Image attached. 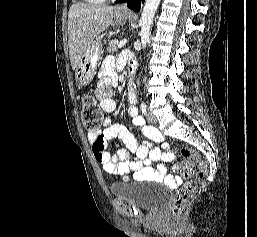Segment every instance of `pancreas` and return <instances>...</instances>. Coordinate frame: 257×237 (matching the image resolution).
<instances>
[{
    "label": "pancreas",
    "mask_w": 257,
    "mask_h": 237,
    "mask_svg": "<svg viewBox=\"0 0 257 237\" xmlns=\"http://www.w3.org/2000/svg\"><path fill=\"white\" fill-rule=\"evenodd\" d=\"M117 46H118V41L116 39L112 40L109 45H108V48H107V51L109 53H113L117 50Z\"/></svg>",
    "instance_id": "obj_1"
}]
</instances>
